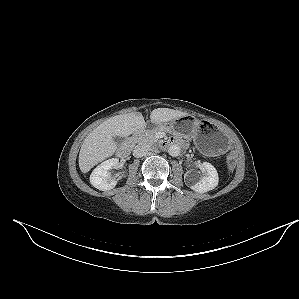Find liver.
Wrapping results in <instances>:
<instances>
[{"label":"liver","mask_w":299,"mask_h":299,"mask_svg":"<svg viewBox=\"0 0 299 299\" xmlns=\"http://www.w3.org/2000/svg\"><path fill=\"white\" fill-rule=\"evenodd\" d=\"M188 116L187 113L169 108H157L150 114L153 124H162ZM145 120L140 112L113 116L91 131L83 141L79 153V168L89 172L99 162L111 157L117 149L113 137H127L134 132H142Z\"/></svg>","instance_id":"1"}]
</instances>
